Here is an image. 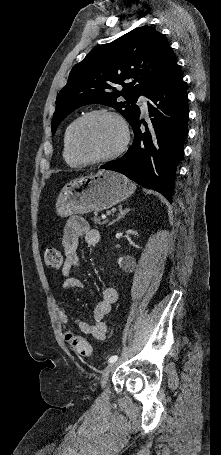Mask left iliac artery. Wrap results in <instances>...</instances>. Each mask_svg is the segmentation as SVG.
Segmentation results:
<instances>
[{
	"label": "left iliac artery",
	"instance_id": "obj_1",
	"mask_svg": "<svg viewBox=\"0 0 221 455\" xmlns=\"http://www.w3.org/2000/svg\"><path fill=\"white\" fill-rule=\"evenodd\" d=\"M118 359V356L117 355H114V356H111L108 360L109 363H113L115 362L116 360Z\"/></svg>",
	"mask_w": 221,
	"mask_h": 455
}]
</instances>
